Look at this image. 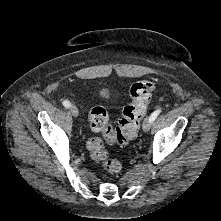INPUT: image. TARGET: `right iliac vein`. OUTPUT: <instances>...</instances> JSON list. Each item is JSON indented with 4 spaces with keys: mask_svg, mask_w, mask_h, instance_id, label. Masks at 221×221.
<instances>
[{
    "mask_svg": "<svg viewBox=\"0 0 221 221\" xmlns=\"http://www.w3.org/2000/svg\"><path fill=\"white\" fill-rule=\"evenodd\" d=\"M70 112L74 117H78L79 115V110L75 105L71 106Z\"/></svg>",
    "mask_w": 221,
    "mask_h": 221,
    "instance_id": "right-iliac-vein-1",
    "label": "right iliac vein"
}]
</instances>
